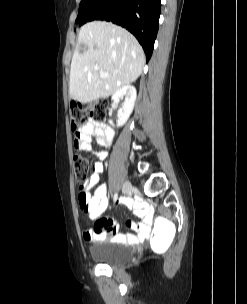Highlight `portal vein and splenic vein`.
<instances>
[{"label":"portal vein and splenic vein","instance_id":"18ae733b","mask_svg":"<svg viewBox=\"0 0 247 304\" xmlns=\"http://www.w3.org/2000/svg\"><path fill=\"white\" fill-rule=\"evenodd\" d=\"M95 69H96V70H99V67H98V66H95ZM100 76H101V77H107L108 74L105 73V72H101V73H100Z\"/></svg>","mask_w":247,"mask_h":304}]
</instances>
